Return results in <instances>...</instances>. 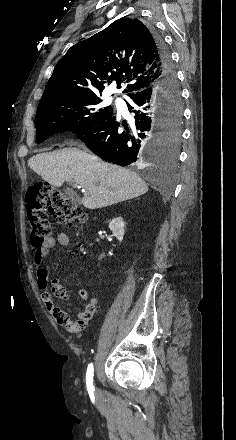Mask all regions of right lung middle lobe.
Here are the masks:
<instances>
[{"label":"right lung middle lobe","mask_w":236,"mask_h":440,"mask_svg":"<svg viewBox=\"0 0 236 440\" xmlns=\"http://www.w3.org/2000/svg\"><path fill=\"white\" fill-rule=\"evenodd\" d=\"M180 90H176L175 98H179ZM101 99L93 94H74L63 97L49 98L41 101L36 113V142L41 143L51 134L60 131H72L75 134L83 133L113 115V108L102 107ZM178 118L168 122L160 139L162 155L169 160L177 156V145L180 140L181 114L178 109Z\"/></svg>","instance_id":"obj_1"}]
</instances>
